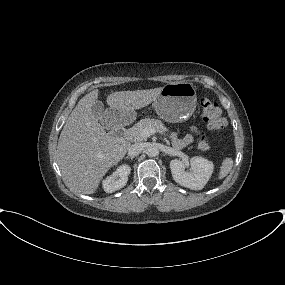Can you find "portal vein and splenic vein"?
I'll list each match as a JSON object with an SVG mask.
<instances>
[{
  "label": "portal vein and splenic vein",
  "instance_id": "portal-vein-and-splenic-vein-1",
  "mask_svg": "<svg viewBox=\"0 0 285 285\" xmlns=\"http://www.w3.org/2000/svg\"><path fill=\"white\" fill-rule=\"evenodd\" d=\"M157 131L154 130V129H151V128H144L142 131H141V136L144 137V138H147L149 136H151L152 134H155Z\"/></svg>",
  "mask_w": 285,
  "mask_h": 285
}]
</instances>
